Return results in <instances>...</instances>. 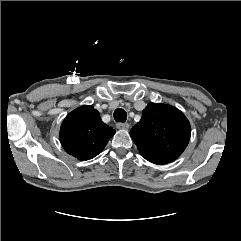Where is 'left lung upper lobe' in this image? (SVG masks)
Returning <instances> with one entry per match:
<instances>
[{
    "instance_id": "obj_1",
    "label": "left lung upper lobe",
    "mask_w": 241,
    "mask_h": 241,
    "mask_svg": "<svg viewBox=\"0 0 241 241\" xmlns=\"http://www.w3.org/2000/svg\"><path fill=\"white\" fill-rule=\"evenodd\" d=\"M191 134L188 119L177 108L149 103L130 131L140 154L175 160L185 150Z\"/></svg>"
}]
</instances>
